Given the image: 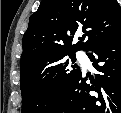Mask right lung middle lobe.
<instances>
[{"label":"right lung middle lobe","instance_id":"1","mask_svg":"<svg viewBox=\"0 0 121 113\" xmlns=\"http://www.w3.org/2000/svg\"><path fill=\"white\" fill-rule=\"evenodd\" d=\"M75 52L43 55L21 67L20 89L23 113H49L64 94L69 80L80 72Z\"/></svg>","mask_w":121,"mask_h":113}]
</instances>
